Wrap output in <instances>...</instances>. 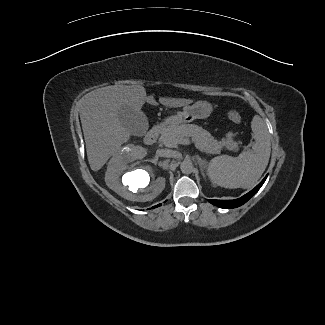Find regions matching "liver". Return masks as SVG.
I'll return each instance as SVG.
<instances>
[{
    "mask_svg": "<svg viewBox=\"0 0 325 325\" xmlns=\"http://www.w3.org/2000/svg\"><path fill=\"white\" fill-rule=\"evenodd\" d=\"M145 102L156 104L153 97H147L142 85H113L93 90L83 97L80 119L86 143L90 168L100 170L108 159L119 152L122 144L128 142L129 131L122 125L118 111L123 106L141 110ZM159 102L170 108L189 105L192 99L160 97ZM137 158L144 157L145 149L131 146Z\"/></svg>",
    "mask_w": 325,
    "mask_h": 325,
    "instance_id": "6515ba94",
    "label": "liver"
}]
</instances>
